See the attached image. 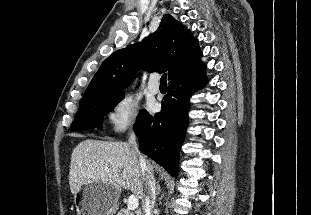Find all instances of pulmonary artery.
Segmentation results:
<instances>
[{"instance_id":"1","label":"pulmonary artery","mask_w":311,"mask_h":215,"mask_svg":"<svg viewBox=\"0 0 311 215\" xmlns=\"http://www.w3.org/2000/svg\"><path fill=\"white\" fill-rule=\"evenodd\" d=\"M158 76L153 75L150 78L149 84H148V89L152 94H157L159 92V85L157 83Z\"/></svg>"}]
</instances>
